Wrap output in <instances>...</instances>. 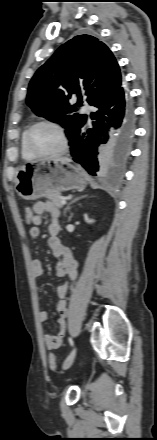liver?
<instances>
[{"instance_id": "obj_1", "label": "liver", "mask_w": 157, "mask_h": 440, "mask_svg": "<svg viewBox=\"0 0 157 440\" xmlns=\"http://www.w3.org/2000/svg\"><path fill=\"white\" fill-rule=\"evenodd\" d=\"M54 160H57V161H65V162H70V161H71L69 158H66V157H63V158H57V159H54Z\"/></svg>"}]
</instances>
